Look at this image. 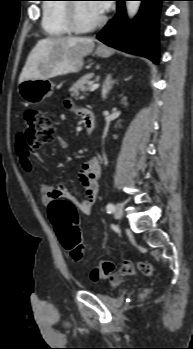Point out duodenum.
Returning <instances> with one entry per match:
<instances>
[{"mask_svg":"<svg viewBox=\"0 0 193 349\" xmlns=\"http://www.w3.org/2000/svg\"><path fill=\"white\" fill-rule=\"evenodd\" d=\"M85 129L87 134H92L95 126V116L90 111H84Z\"/></svg>","mask_w":193,"mask_h":349,"instance_id":"obj_1","label":"duodenum"}]
</instances>
